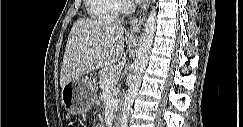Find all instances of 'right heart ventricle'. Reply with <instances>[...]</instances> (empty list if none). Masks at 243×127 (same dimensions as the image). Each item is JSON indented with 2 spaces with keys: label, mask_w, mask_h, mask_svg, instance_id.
Masks as SVG:
<instances>
[{
  "label": "right heart ventricle",
  "mask_w": 243,
  "mask_h": 127,
  "mask_svg": "<svg viewBox=\"0 0 243 127\" xmlns=\"http://www.w3.org/2000/svg\"><path fill=\"white\" fill-rule=\"evenodd\" d=\"M86 11L96 22H113L117 19L118 4L116 0H87Z\"/></svg>",
  "instance_id": "obj_1"
}]
</instances>
